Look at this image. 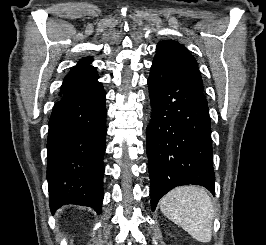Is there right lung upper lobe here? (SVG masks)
Masks as SVG:
<instances>
[{
  "mask_svg": "<svg viewBox=\"0 0 266 245\" xmlns=\"http://www.w3.org/2000/svg\"><path fill=\"white\" fill-rule=\"evenodd\" d=\"M91 57H85L73 67V69L65 77L63 84L60 89V96L65 94L67 91L80 86L85 83L97 81L98 76L96 69L90 65L92 62Z\"/></svg>",
  "mask_w": 266,
  "mask_h": 245,
  "instance_id": "right-lung-upper-lobe-1",
  "label": "right lung upper lobe"
}]
</instances>
